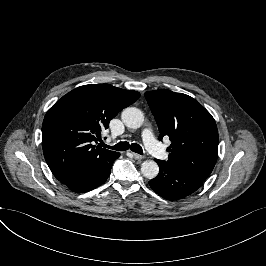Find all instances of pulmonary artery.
Returning a JSON list of instances; mask_svg holds the SVG:
<instances>
[{
  "label": "pulmonary artery",
  "instance_id": "pulmonary-artery-1",
  "mask_svg": "<svg viewBox=\"0 0 266 266\" xmlns=\"http://www.w3.org/2000/svg\"><path fill=\"white\" fill-rule=\"evenodd\" d=\"M142 139L144 141H146V147L150 150L151 153H153L154 155H157L160 159H165L166 158L167 151L161 149L157 145V138L153 137L152 128L151 127H146L143 130Z\"/></svg>",
  "mask_w": 266,
  "mask_h": 266
}]
</instances>
